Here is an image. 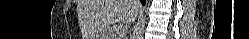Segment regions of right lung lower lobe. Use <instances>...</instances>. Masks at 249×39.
<instances>
[{"mask_svg":"<svg viewBox=\"0 0 249 39\" xmlns=\"http://www.w3.org/2000/svg\"><path fill=\"white\" fill-rule=\"evenodd\" d=\"M141 1V3L144 5L145 4V2H146V0H140Z\"/></svg>","mask_w":249,"mask_h":39,"instance_id":"right-lung-lower-lobe-1","label":"right lung lower lobe"}]
</instances>
